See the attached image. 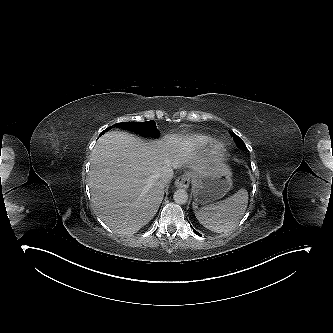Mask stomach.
<instances>
[{
  "mask_svg": "<svg viewBox=\"0 0 333 333\" xmlns=\"http://www.w3.org/2000/svg\"><path fill=\"white\" fill-rule=\"evenodd\" d=\"M232 173L223 165H218L193 176L194 200L207 204L221 199L232 186Z\"/></svg>",
  "mask_w": 333,
  "mask_h": 333,
  "instance_id": "stomach-1",
  "label": "stomach"
}]
</instances>
